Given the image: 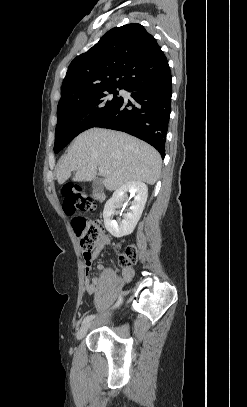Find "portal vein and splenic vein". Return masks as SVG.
<instances>
[{
  "mask_svg": "<svg viewBox=\"0 0 247 407\" xmlns=\"http://www.w3.org/2000/svg\"><path fill=\"white\" fill-rule=\"evenodd\" d=\"M104 170L102 168H99V174H103Z\"/></svg>",
  "mask_w": 247,
  "mask_h": 407,
  "instance_id": "1",
  "label": "portal vein and splenic vein"
}]
</instances>
